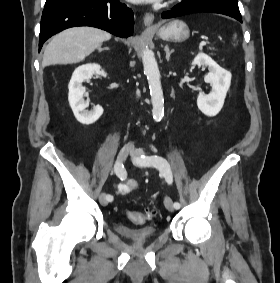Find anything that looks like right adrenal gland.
<instances>
[{"mask_svg":"<svg viewBox=\"0 0 280 283\" xmlns=\"http://www.w3.org/2000/svg\"><path fill=\"white\" fill-rule=\"evenodd\" d=\"M104 50L109 51V50H110V48H109V47L100 48V49H99V52H102V51H104Z\"/></svg>","mask_w":280,"mask_h":283,"instance_id":"obj_1","label":"right adrenal gland"}]
</instances>
